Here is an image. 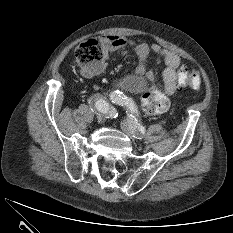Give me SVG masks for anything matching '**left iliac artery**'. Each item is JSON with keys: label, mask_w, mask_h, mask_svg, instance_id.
<instances>
[{"label": "left iliac artery", "mask_w": 233, "mask_h": 233, "mask_svg": "<svg viewBox=\"0 0 233 233\" xmlns=\"http://www.w3.org/2000/svg\"><path fill=\"white\" fill-rule=\"evenodd\" d=\"M110 99L115 104L126 106L129 110H131V112L135 113L137 111L132 99L128 98L124 93L120 92L119 90L115 91L114 93H111ZM131 122L135 128L141 131V133H145L144 127L139 123V121L136 118H134V116L131 118Z\"/></svg>", "instance_id": "44dca946"}]
</instances>
